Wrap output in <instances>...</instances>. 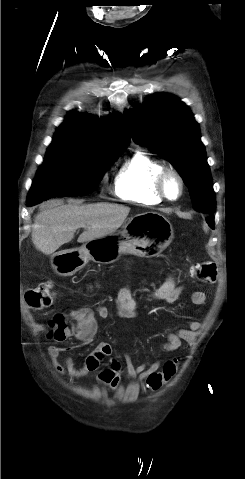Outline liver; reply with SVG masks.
Instances as JSON below:
<instances>
[{
    "mask_svg": "<svg viewBox=\"0 0 245 479\" xmlns=\"http://www.w3.org/2000/svg\"><path fill=\"white\" fill-rule=\"evenodd\" d=\"M129 212V207L113 203L58 204L35 216L32 241L36 249L51 255L70 242L79 228H85L78 238L79 243L113 234Z\"/></svg>",
    "mask_w": 245,
    "mask_h": 479,
    "instance_id": "obj_1",
    "label": "liver"
}]
</instances>
